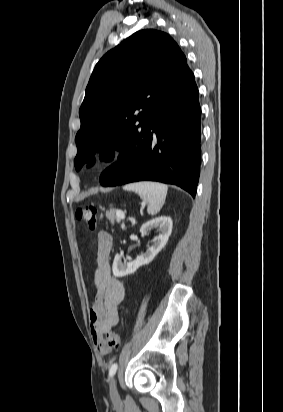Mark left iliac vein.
I'll use <instances>...</instances> for the list:
<instances>
[{"label": "left iliac vein", "instance_id": "obj_1", "mask_svg": "<svg viewBox=\"0 0 283 412\" xmlns=\"http://www.w3.org/2000/svg\"><path fill=\"white\" fill-rule=\"evenodd\" d=\"M109 391H110V398L113 402H116L119 400V393L117 390V386H116V378H112L110 380V385H109Z\"/></svg>", "mask_w": 283, "mask_h": 412}]
</instances>
